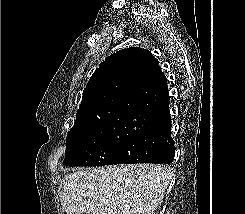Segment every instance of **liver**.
Segmentation results:
<instances>
[{
    "label": "liver",
    "mask_w": 245,
    "mask_h": 214,
    "mask_svg": "<svg viewBox=\"0 0 245 214\" xmlns=\"http://www.w3.org/2000/svg\"><path fill=\"white\" fill-rule=\"evenodd\" d=\"M171 176L161 165L81 168L62 180V207L67 214H153Z\"/></svg>",
    "instance_id": "6515ba94"
}]
</instances>
